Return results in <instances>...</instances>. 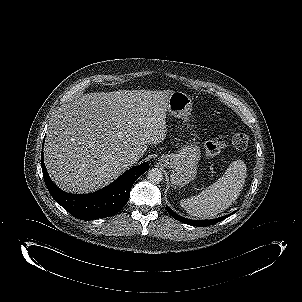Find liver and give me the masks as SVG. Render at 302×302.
<instances>
[{
    "label": "liver",
    "instance_id": "1",
    "mask_svg": "<svg viewBox=\"0 0 302 302\" xmlns=\"http://www.w3.org/2000/svg\"><path fill=\"white\" fill-rule=\"evenodd\" d=\"M171 90H120L84 94L52 119L44 162L51 179L67 192L88 193L118 178L129 165L166 137Z\"/></svg>",
    "mask_w": 302,
    "mask_h": 302
}]
</instances>
